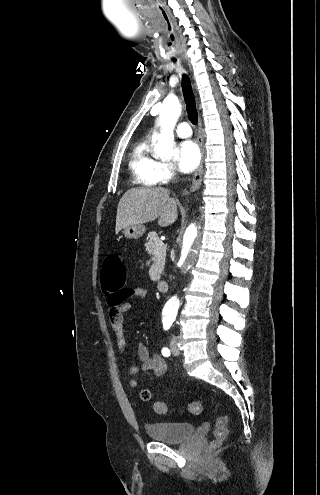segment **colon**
<instances>
[{"mask_svg": "<svg viewBox=\"0 0 320 495\" xmlns=\"http://www.w3.org/2000/svg\"><path fill=\"white\" fill-rule=\"evenodd\" d=\"M126 268L121 258L116 254L108 255L101 268L100 284L102 290L107 294L110 292L121 291L124 287L126 280ZM126 295L120 293L117 298L118 302L125 300ZM140 398L143 401H148L151 398L149 390H142L140 392ZM154 411L158 414H165L167 412V405L162 401L154 403ZM187 411L192 415H199L202 411L201 402L195 401L187 405ZM228 423L229 418L226 415H220L215 421L214 429V441L213 446L223 442L228 435Z\"/></svg>", "mask_w": 320, "mask_h": 495, "instance_id": "5ec220e1", "label": "colon"}]
</instances>
